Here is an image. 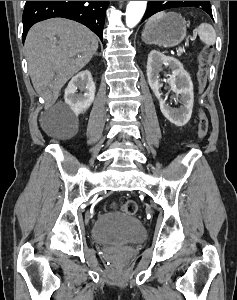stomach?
<instances>
[{
	"mask_svg": "<svg viewBox=\"0 0 237 300\" xmlns=\"http://www.w3.org/2000/svg\"><path fill=\"white\" fill-rule=\"evenodd\" d=\"M186 21L178 13H166L163 19L146 25L142 41L147 45H179L186 37Z\"/></svg>",
	"mask_w": 237,
	"mask_h": 300,
	"instance_id": "stomach-1",
	"label": "stomach"
}]
</instances>
